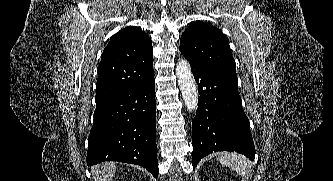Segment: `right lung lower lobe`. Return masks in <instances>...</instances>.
<instances>
[{"instance_id": "obj_1", "label": "right lung lower lobe", "mask_w": 333, "mask_h": 181, "mask_svg": "<svg viewBox=\"0 0 333 181\" xmlns=\"http://www.w3.org/2000/svg\"><path fill=\"white\" fill-rule=\"evenodd\" d=\"M154 78L96 104L87 164L119 161L158 176Z\"/></svg>"}]
</instances>
